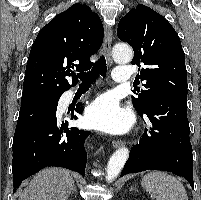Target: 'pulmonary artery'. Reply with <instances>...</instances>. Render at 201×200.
I'll list each match as a JSON object with an SVG mask.
<instances>
[{
    "label": "pulmonary artery",
    "instance_id": "1",
    "mask_svg": "<svg viewBox=\"0 0 201 200\" xmlns=\"http://www.w3.org/2000/svg\"><path fill=\"white\" fill-rule=\"evenodd\" d=\"M131 68L128 66L120 65L117 66L114 73L113 79L117 83H127L131 80Z\"/></svg>",
    "mask_w": 201,
    "mask_h": 200
}]
</instances>
